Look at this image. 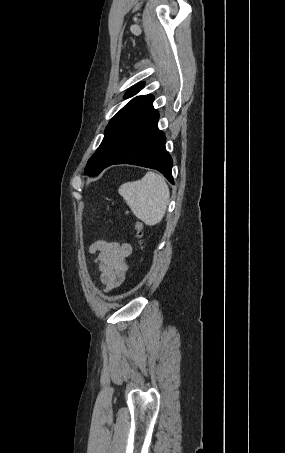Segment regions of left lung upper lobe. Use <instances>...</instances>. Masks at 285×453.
<instances>
[{
	"label": "left lung upper lobe",
	"instance_id": "obj_1",
	"mask_svg": "<svg viewBox=\"0 0 285 453\" xmlns=\"http://www.w3.org/2000/svg\"><path fill=\"white\" fill-rule=\"evenodd\" d=\"M144 86V83H138L131 87L125 97H131L138 93ZM152 95H142L133 98L129 101L109 122L105 129V135L99 148L89 159L85 173L88 176L99 174L101 168L105 164L110 152L117 143L118 139L132 122L143 113L153 102Z\"/></svg>",
	"mask_w": 285,
	"mask_h": 453
}]
</instances>
